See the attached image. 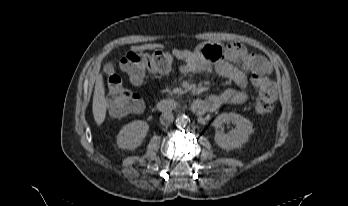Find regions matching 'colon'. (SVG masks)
<instances>
[{
  "mask_svg": "<svg viewBox=\"0 0 348 206\" xmlns=\"http://www.w3.org/2000/svg\"><path fill=\"white\" fill-rule=\"evenodd\" d=\"M173 64L172 55L164 50H133L121 59V68L135 83H141L146 73L166 74ZM106 104L115 115L136 113L142 109V101L130 91L112 69L108 70ZM253 83L258 90L255 112L258 115L270 113L275 105V86L272 79L253 75Z\"/></svg>",
  "mask_w": 348,
  "mask_h": 206,
  "instance_id": "obj_1",
  "label": "colon"
}]
</instances>
